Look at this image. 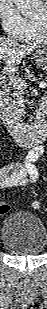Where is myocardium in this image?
I'll return each mask as SVG.
<instances>
[{"mask_svg": "<svg viewBox=\"0 0 47 309\" xmlns=\"http://www.w3.org/2000/svg\"><path fill=\"white\" fill-rule=\"evenodd\" d=\"M34 25L35 27L37 28L39 34L44 37L45 34H46V27H47V16L45 18V20L43 22L41 21H37V20H34Z\"/></svg>", "mask_w": 47, "mask_h": 309, "instance_id": "myocardium-1", "label": "myocardium"}]
</instances>
